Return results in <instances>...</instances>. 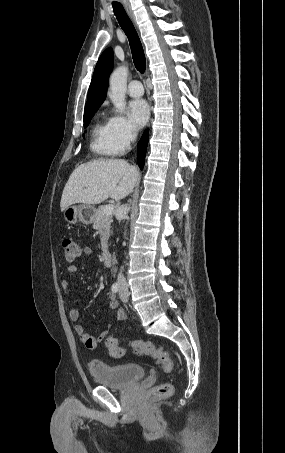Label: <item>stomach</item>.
Here are the masks:
<instances>
[{"label":"stomach","mask_w":285,"mask_h":453,"mask_svg":"<svg viewBox=\"0 0 285 453\" xmlns=\"http://www.w3.org/2000/svg\"><path fill=\"white\" fill-rule=\"evenodd\" d=\"M94 215L95 208L86 204L68 206L63 212L64 220L71 225L77 222L89 225L93 222Z\"/></svg>","instance_id":"stomach-1"}]
</instances>
